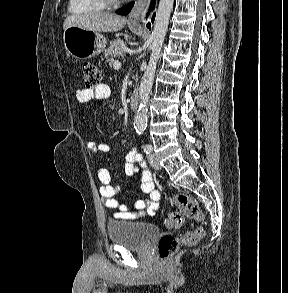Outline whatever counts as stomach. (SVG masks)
<instances>
[{
    "mask_svg": "<svg viewBox=\"0 0 288 293\" xmlns=\"http://www.w3.org/2000/svg\"><path fill=\"white\" fill-rule=\"evenodd\" d=\"M63 41L67 53L76 59L98 55L105 50L107 44L101 33L74 25L64 30Z\"/></svg>",
    "mask_w": 288,
    "mask_h": 293,
    "instance_id": "stomach-1",
    "label": "stomach"
}]
</instances>
